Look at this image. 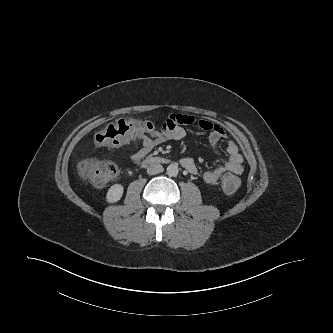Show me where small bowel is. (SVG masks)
<instances>
[{
	"instance_id": "1",
	"label": "small bowel",
	"mask_w": 333,
	"mask_h": 333,
	"mask_svg": "<svg viewBox=\"0 0 333 333\" xmlns=\"http://www.w3.org/2000/svg\"><path fill=\"white\" fill-rule=\"evenodd\" d=\"M195 122L194 118L189 115L172 114L170 115L162 125V130L154 132L151 136H145L140 138L142 147L132 155V160L135 163H139L142 159L150 153L155 147L165 143L169 140L179 141L186 135L184 126ZM198 126L209 132L208 140L211 146L218 152L220 142L225 139V132L223 128L210 121L200 119L198 120ZM227 159L218 164L212 170H209L203 174V180L207 184L216 183L225 172H231L234 174H241L242 167V155L239 152L237 144L228 139L226 142ZM182 166L190 173H196L197 168L194 160L191 157H184L181 160Z\"/></svg>"
}]
</instances>
